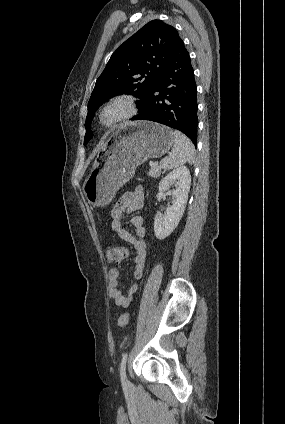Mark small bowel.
<instances>
[{"label": "small bowel", "instance_id": "1", "mask_svg": "<svg viewBox=\"0 0 285 424\" xmlns=\"http://www.w3.org/2000/svg\"><path fill=\"white\" fill-rule=\"evenodd\" d=\"M144 203V192L141 187L134 191L126 192L119 200L112 213L111 227L117 236L132 245L135 250L134 256V272L135 282L132 283L126 292L121 289V274L116 268L109 271V295L110 298L120 307H128L135 298L138 291V281L143 277L145 263L147 257V245L144 240L146 236V227L144 219L140 215H132V213L140 210ZM129 218L135 234H132L125 226L124 221ZM124 250V258L129 254L126 248Z\"/></svg>", "mask_w": 285, "mask_h": 424}]
</instances>
